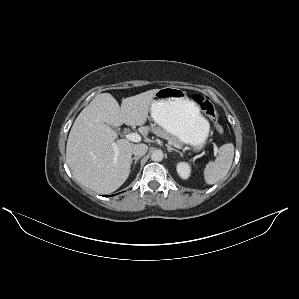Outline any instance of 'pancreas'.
I'll return each instance as SVG.
<instances>
[{
  "instance_id": "cf45deb5",
  "label": "pancreas",
  "mask_w": 299,
  "mask_h": 299,
  "mask_svg": "<svg viewBox=\"0 0 299 299\" xmlns=\"http://www.w3.org/2000/svg\"><path fill=\"white\" fill-rule=\"evenodd\" d=\"M151 131L158 137L168 140L172 145L180 144L179 140L159 127H152Z\"/></svg>"
}]
</instances>
